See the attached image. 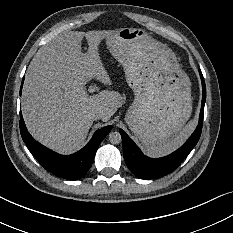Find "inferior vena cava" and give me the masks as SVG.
Instances as JSON below:
<instances>
[{
	"label": "inferior vena cava",
	"mask_w": 233,
	"mask_h": 233,
	"mask_svg": "<svg viewBox=\"0 0 233 233\" xmlns=\"http://www.w3.org/2000/svg\"><path fill=\"white\" fill-rule=\"evenodd\" d=\"M101 117H102V113L101 112H94V113H92L91 115H90V119L91 120H99V119H101Z\"/></svg>",
	"instance_id": "obj_1"
}]
</instances>
